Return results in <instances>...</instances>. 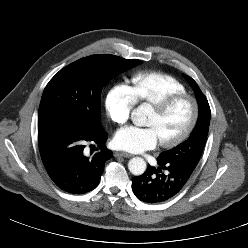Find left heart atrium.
I'll list each match as a JSON object with an SVG mask.
<instances>
[{
  "label": "left heart atrium",
  "instance_id": "obj_1",
  "mask_svg": "<svg viewBox=\"0 0 248 248\" xmlns=\"http://www.w3.org/2000/svg\"><path fill=\"white\" fill-rule=\"evenodd\" d=\"M158 135L153 127L127 126L114 136V144L118 149L139 153L155 148L159 144Z\"/></svg>",
  "mask_w": 248,
  "mask_h": 248
}]
</instances>
